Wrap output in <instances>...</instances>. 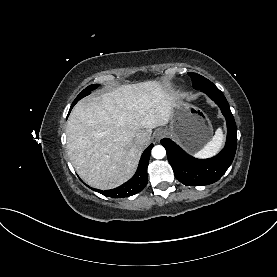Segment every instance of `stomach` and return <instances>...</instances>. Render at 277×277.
I'll return each instance as SVG.
<instances>
[{"label": "stomach", "instance_id": "stomach-1", "mask_svg": "<svg viewBox=\"0 0 277 277\" xmlns=\"http://www.w3.org/2000/svg\"><path fill=\"white\" fill-rule=\"evenodd\" d=\"M167 133L188 152L195 153L210 141L213 128L201 109L177 98L171 108Z\"/></svg>", "mask_w": 277, "mask_h": 277}]
</instances>
